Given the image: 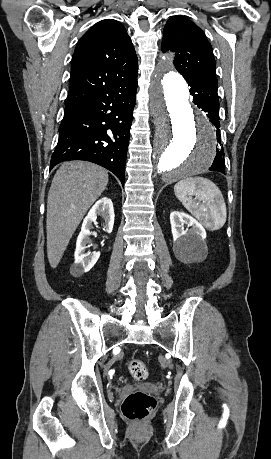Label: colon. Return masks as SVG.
<instances>
[{
	"mask_svg": "<svg viewBox=\"0 0 271 459\" xmlns=\"http://www.w3.org/2000/svg\"><path fill=\"white\" fill-rule=\"evenodd\" d=\"M130 374L136 380L143 381L148 376V371L144 362L133 358L128 363ZM156 400L151 395L136 391L129 394L122 403V413L130 421L143 422L155 410Z\"/></svg>",
	"mask_w": 271,
	"mask_h": 459,
	"instance_id": "1",
	"label": "colon"
}]
</instances>
